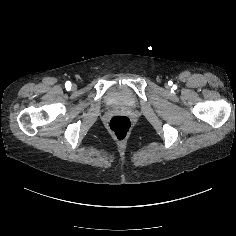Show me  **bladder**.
<instances>
[{
	"label": "bladder",
	"mask_w": 236,
	"mask_h": 236,
	"mask_svg": "<svg viewBox=\"0 0 236 236\" xmlns=\"http://www.w3.org/2000/svg\"><path fill=\"white\" fill-rule=\"evenodd\" d=\"M111 102L113 105L130 106L133 97L129 90L117 89L111 96Z\"/></svg>",
	"instance_id": "bladder-1"
}]
</instances>
